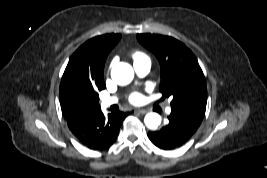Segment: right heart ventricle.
<instances>
[{"mask_svg": "<svg viewBox=\"0 0 267 178\" xmlns=\"http://www.w3.org/2000/svg\"><path fill=\"white\" fill-rule=\"evenodd\" d=\"M133 58H134V62L135 61H139V60H143V59H148L143 53L141 52H135L133 54Z\"/></svg>", "mask_w": 267, "mask_h": 178, "instance_id": "right-heart-ventricle-1", "label": "right heart ventricle"}]
</instances>
